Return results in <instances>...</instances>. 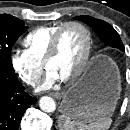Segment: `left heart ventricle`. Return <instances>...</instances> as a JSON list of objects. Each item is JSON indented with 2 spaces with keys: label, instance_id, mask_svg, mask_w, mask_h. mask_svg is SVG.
Instances as JSON below:
<instances>
[{
  "label": "left heart ventricle",
  "instance_id": "obj_1",
  "mask_svg": "<svg viewBox=\"0 0 130 130\" xmlns=\"http://www.w3.org/2000/svg\"><path fill=\"white\" fill-rule=\"evenodd\" d=\"M86 48L85 34L78 27L66 28L60 38L56 56L46 66L59 75L66 78L75 71L82 60Z\"/></svg>",
  "mask_w": 130,
  "mask_h": 130
}]
</instances>
